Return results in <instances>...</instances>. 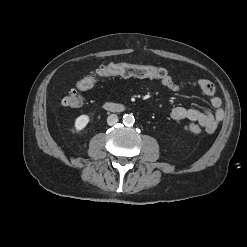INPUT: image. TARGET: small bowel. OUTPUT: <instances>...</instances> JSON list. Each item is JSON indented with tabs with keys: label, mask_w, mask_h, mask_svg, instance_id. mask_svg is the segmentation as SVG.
Segmentation results:
<instances>
[{
	"label": "small bowel",
	"mask_w": 247,
	"mask_h": 247,
	"mask_svg": "<svg viewBox=\"0 0 247 247\" xmlns=\"http://www.w3.org/2000/svg\"><path fill=\"white\" fill-rule=\"evenodd\" d=\"M163 86L173 92H177L182 88V83L174 81L171 77H167L161 80ZM196 85L200 90L210 98L211 106L213 110L186 108L183 106H176L171 110L170 116L177 121L188 120L198 123L204 128L206 133H213L219 123L224 118V109L222 108V101L216 95V89L214 84L206 79H199L196 81Z\"/></svg>",
	"instance_id": "obj_1"
}]
</instances>
